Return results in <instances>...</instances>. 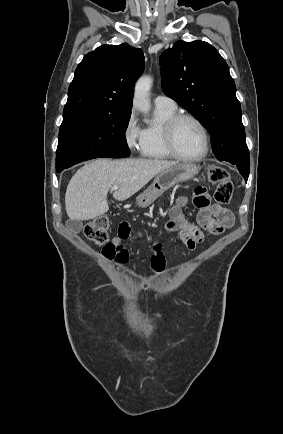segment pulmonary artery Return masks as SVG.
Instances as JSON below:
<instances>
[{
  "mask_svg": "<svg viewBox=\"0 0 283 434\" xmlns=\"http://www.w3.org/2000/svg\"><path fill=\"white\" fill-rule=\"evenodd\" d=\"M154 105L156 108L175 109L177 107L176 102L166 95H158L154 99Z\"/></svg>",
  "mask_w": 283,
  "mask_h": 434,
  "instance_id": "obj_1",
  "label": "pulmonary artery"
}]
</instances>
